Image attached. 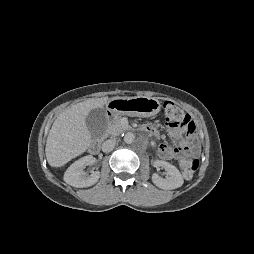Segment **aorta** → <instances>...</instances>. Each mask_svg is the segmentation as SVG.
<instances>
[{
  "mask_svg": "<svg viewBox=\"0 0 254 254\" xmlns=\"http://www.w3.org/2000/svg\"><path fill=\"white\" fill-rule=\"evenodd\" d=\"M134 138H135L134 134L131 132H128L124 136V141L127 144H131L134 141Z\"/></svg>",
  "mask_w": 254,
  "mask_h": 254,
  "instance_id": "762f6f07",
  "label": "aorta"
}]
</instances>
